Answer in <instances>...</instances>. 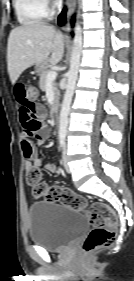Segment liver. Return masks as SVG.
<instances>
[{
  "label": "liver",
  "mask_w": 134,
  "mask_h": 281,
  "mask_svg": "<svg viewBox=\"0 0 134 281\" xmlns=\"http://www.w3.org/2000/svg\"><path fill=\"white\" fill-rule=\"evenodd\" d=\"M64 47L63 34L46 23L31 22L13 29L7 46V67L12 84L33 65L57 64L63 57Z\"/></svg>",
  "instance_id": "liver-1"
}]
</instances>
